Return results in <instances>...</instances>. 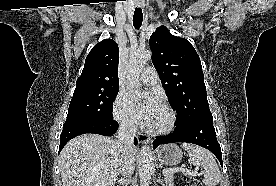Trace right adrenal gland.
I'll use <instances>...</instances> for the list:
<instances>
[{"instance_id":"right-adrenal-gland-1","label":"right adrenal gland","mask_w":276,"mask_h":186,"mask_svg":"<svg viewBox=\"0 0 276 186\" xmlns=\"http://www.w3.org/2000/svg\"><path fill=\"white\" fill-rule=\"evenodd\" d=\"M128 180L124 178L117 179L116 183L122 185V186H127L128 185Z\"/></svg>"}]
</instances>
